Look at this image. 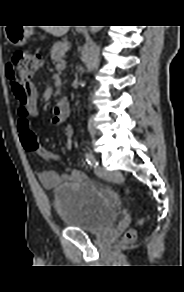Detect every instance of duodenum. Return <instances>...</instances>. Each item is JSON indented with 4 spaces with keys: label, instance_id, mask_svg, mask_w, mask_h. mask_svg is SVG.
Here are the masks:
<instances>
[{
    "label": "duodenum",
    "instance_id": "obj_1",
    "mask_svg": "<svg viewBox=\"0 0 184 292\" xmlns=\"http://www.w3.org/2000/svg\"><path fill=\"white\" fill-rule=\"evenodd\" d=\"M69 101L67 99L59 100L55 105V116L57 119H64L69 115Z\"/></svg>",
    "mask_w": 184,
    "mask_h": 292
}]
</instances>
